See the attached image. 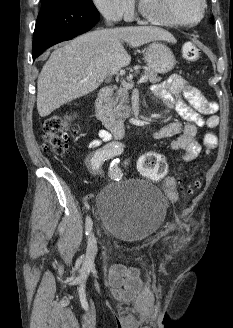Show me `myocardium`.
Instances as JSON below:
<instances>
[{
  "label": "myocardium",
  "mask_w": 233,
  "mask_h": 328,
  "mask_svg": "<svg viewBox=\"0 0 233 328\" xmlns=\"http://www.w3.org/2000/svg\"><path fill=\"white\" fill-rule=\"evenodd\" d=\"M201 12L197 20L193 22L179 21L173 18H169L160 14H157L154 9L149 7L145 0H139V9L141 14L149 21L166 26H176V27H193L200 24L206 14V0H200Z\"/></svg>",
  "instance_id": "myocardium-1"
}]
</instances>
